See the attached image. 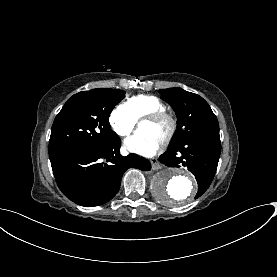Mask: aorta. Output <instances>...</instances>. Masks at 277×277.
I'll use <instances>...</instances> for the list:
<instances>
[{
    "label": "aorta",
    "mask_w": 277,
    "mask_h": 277,
    "mask_svg": "<svg viewBox=\"0 0 277 277\" xmlns=\"http://www.w3.org/2000/svg\"><path fill=\"white\" fill-rule=\"evenodd\" d=\"M151 189L157 199L166 205L186 204L197 192V183L186 171L163 169L151 182Z\"/></svg>",
    "instance_id": "1"
}]
</instances>
